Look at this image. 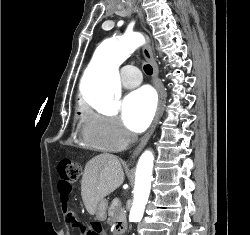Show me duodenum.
Wrapping results in <instances>:
<instances>
[{"label": "duodenum", "mask_w": 250, "mask_h": 235, "mask_svg": "<svg viewBox=\"0 0 250 235\" xmlns=\"http://www.w3.org/2000/svg\"><path fill=\"white\" fill-rule=\"evenodd\" d=\"M123 227L122 226H119V227H116L115 229V235H123Z\"/></svg>", "instance_id": "duodenum-1"}]
</instances>
